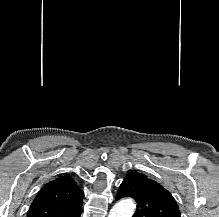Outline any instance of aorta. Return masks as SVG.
Instances as JSON below:
<instances>
[{"instance_id": "762f6f07", "label": "aorta", "mask_w": 219, "mask_h": 217, "mask_svg": "<svg viewBox=\"0 0 219 217\" xmlns=\"http://www.w3.org/2000/svg\"><path fill=\"white\" fill-rule=\"evenodd\" d=\"M135 207L130 199L121 200L110 210L108 217H132Z\"/></svg>"}]
</instances>
